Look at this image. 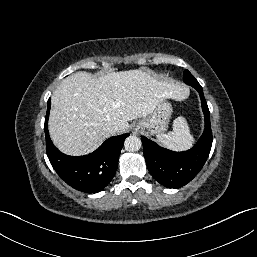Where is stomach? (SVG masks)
Returning a JSON list of instances; mask_svg holds the SVG:
<instances>
[{"mask_svg": "<svg viewBox=\"0 0 257 257\" xmlns=\"http://www.w3.org/2000/svg\"><path fill=\"white\" fill-rule=\"evenodd\" d=\"M171 113V104L164 99L157 104L154 111L150 115L140 120L137 123V126L147 129L152 135H161L168 127Z\"/></svg>", "mask_w": 257, "mask_h": 257, "instance_id": "0dacf381", "label": "stomach"}]
</instances>
